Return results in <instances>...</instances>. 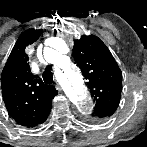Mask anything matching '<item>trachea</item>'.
I'll return each mask as SVG.
<instances>
[{
	"label": "trachea",
	"mask_w": 147,
	"mask_h": 147,
	"mask_svg": "<svg viewBox=\"0 0 147 147\" xmlns=\"http://www.w3.org/2000/svg\"><path fill=\"white\" fill-rule=\"evenodd\" d=\"M43 80L45 83H52L53 82V73L51 72V69H46L43 72Z\"/></svg>",
	"instance_id": "obj_1"
}]
</instances>
